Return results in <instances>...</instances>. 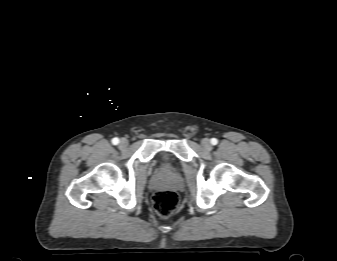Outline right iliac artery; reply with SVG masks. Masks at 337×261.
Wrapping results in <instances>:
<instances>
[{"mask_svg": "<svg viewBox=\"0 0 337 261\" xmlns=\"http://www.w3.org/2000/svg\"><path fill=\"white\" fill-rule=\"evenodd\" d=\"M112 143H113L114 145H117V144L119 143V139H118V138H113V139H112Z\"/></svg>", "mask_w": 337, "mask_h": 261, "instance_id": "obj_1", "label": "right iliac artery"}]
</instances>
